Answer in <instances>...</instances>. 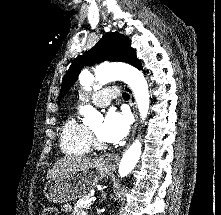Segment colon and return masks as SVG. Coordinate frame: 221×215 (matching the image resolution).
<instances>
[{
    "label": "colon",
    "instance_id": "5ec220e1",
    "mask_svg": "<svg viewBox=\"0 0 221 215\" xmlns=\"http://www.w3.org/2000/svg\"><path fill=\"white\" fill-rule=\"evenodd\" d=\"M41 215H57V209L53 206H45L42 209Z\"/></svg>",
    "mask_w": 221,
    "mask_h": 215
}]
</instances>
